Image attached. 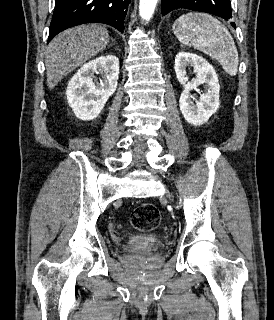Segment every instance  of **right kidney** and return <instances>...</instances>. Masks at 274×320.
<instances>
[{
    "label": "right kidney",
    "mask_w": 274,
    "mask_h": 320,
    "mask_svg": "<svg viewBox=\"0 0 274 320\" xmlns=\"http://www.w3.org/2000/svg\"><path fill=\"white\" fill-rule=\"evenodd\" d=\"M119 68L116 56L103 54L81 66L74 74L67 86L66 96L76 118L89 122L99 116L118 86ZM94 74H102V80L94 82Z\"/></svg>",
    "instance_id": "1"
}]
</instances>
